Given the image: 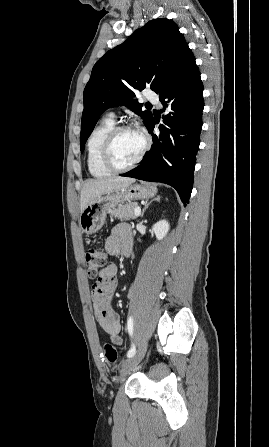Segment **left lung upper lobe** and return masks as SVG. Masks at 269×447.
<instances>
[{
    "label": "left lung upper lobe",
    "instance_id": "5c2ea615",
    "mask_svg": "<svg viewBox=\"0 0 269 447\" xmlns=\"http://www.w3.org/2000/svg\"><path fill=\"white\" fill-rule=\"evenodd\" d=\"M177 24L166 18L149 21L124 43L101 57L93 67L84 89L80 148L93 131L100 115L108 108L125 105L140 115L145 125L152 113L132 99L134 89L146 86L160 93L178 68L188 49Z\"/></svg>",
    "mask_w": 269,
    "mask_h": 447
}]
</instances>
